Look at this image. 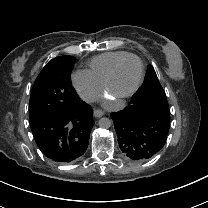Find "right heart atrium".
<instances>
[{
  "label": "right heart atrium",
  "mask_w": 208,
  "mask_h": 208,
  "mask_svg": "<svg viewBox=\"0 0 208 208\" xmlns=\"http://www.w3.org/2000/svg\"><path fill=\"white\" fill-rule=\"evenodd\" d=\"M72 82L84 101L94 103L102 100V87L87 72H74Z\"/></svg>",
  "instance_id": "right-heart-atrium-1"
}]
</instances>
